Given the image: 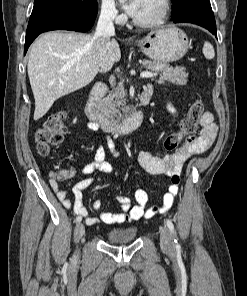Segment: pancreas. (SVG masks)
Returning <instances> with one entry per match:
<instances>
[{
  "label": "pancreas",
  "mask_w": 247,
  "mask_h": 296,
  "mask_svg": "<svg viewBox=\"0 0 247 296\" xmlns=\"http://www.w3.org/2000/svg\"><path fill=\"white\" fill-rule=\"evenodd\" d=\"M143 66L151 73H160L159 83L169 81L177 85L187 83L188 73L184 67L176 66L175 68L149 60H143ZM101 109L104 115L113 123H118L128 115L130 108L126 106V91L122 83L113 88L109 95L102 99ZM123 112V115L121 114Z\"/></svg>",
  "instance_id": "obj_1"
}]
</instances>
